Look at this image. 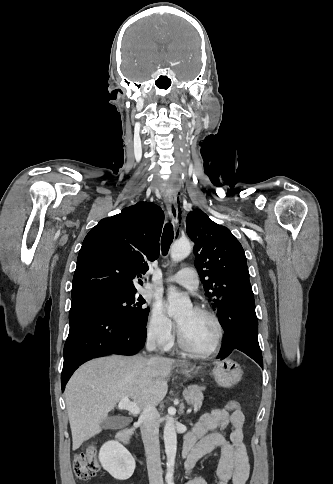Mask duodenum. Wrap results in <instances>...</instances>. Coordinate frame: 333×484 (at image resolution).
<instances>
[{
  "instance_id": "1",
  "label": "duodenum",
  "mask_w": 333,
  "mask_h": 484,
  "mask_svg": "<svg viewBox=\"0 0 333 484\" xmlns=\"http://www.w3.org/2000/svg\"><path fill=\"white\" fill-rule=\"evenodd\" d=\"M133 433V429L131 427H127L125 429H122L118 432L116 438L119 442L123 444H128L130 437ZM183 457L186 460V465L189 463L192 455V444L187 443L186 441L184 442L183 445V451H182Z\"/></svg>"
}]
</instances>
